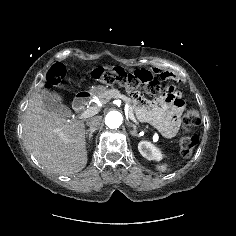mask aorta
I'll return each instance as SVG.
<instances>
[{"label": "aorta", "mask_w": 236, "mask_h": 236, "mask_svg": "<svg viewBox=\"0 0 236 236\" xmlns=\"http://www.w3.org/2000/svg\"><path fill=\"white\" fill-rule=\"evenodd\" d=\"M122 115L118 111H111L105 117V124L111 128L116 129L122 124Z\"/></svg>", "instance_id": "aorta-1"}]
</instances>
